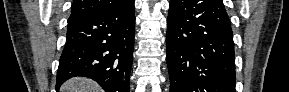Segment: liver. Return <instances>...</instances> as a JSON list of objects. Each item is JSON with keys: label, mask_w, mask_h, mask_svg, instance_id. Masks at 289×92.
Here are the masks:
<instances>
[{"label": "liver", "mask_w": 289, "mask_h": 92, "mask_svg": "<svg viewBox=\"0 0 289 92\" xmlns=\"http://www.w3.org/2000/svg\"><path fill=\"white\" fill-rule=\"evenodd\" d=\"M62 92H101V88L92 80L84 77H75L66 81Z\"/></svg>", "instance_id": "obj_1"}]
</instances>
